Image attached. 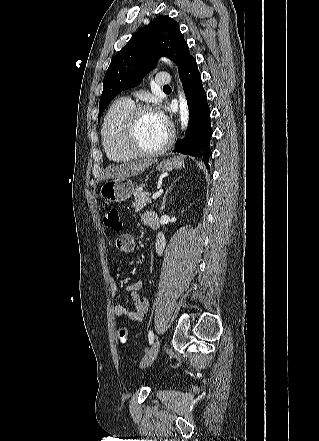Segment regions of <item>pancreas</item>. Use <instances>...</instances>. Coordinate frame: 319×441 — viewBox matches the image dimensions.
I'll return each instance as SVG.
<instances>
[{
  "label": "pancreas",
  "instance_id": "obj_1",
  "mask_svg": "<svg viewBox=\"0 0 319 441\" xmlns=\"http://www.w3.org/2000/svg\"><path fill=\"white\" fill-rule=\"evenodd\" d=\"M143 187H145V184H141L134 190V201L132 202V207L135 209V212L141 211L144 207L151 203V194L143 191Z\"/></svg>",
  "mask_w": 319,
  "mask_h": 441
}]
</instances>
